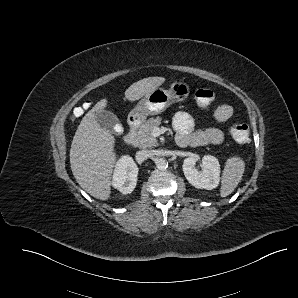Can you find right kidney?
Masks as SVG:
<instances>
[{
  "instance_id": "obj_1",
  "label": "right kidney",
  "mask_w": 298,
  "mask_h": 298,
  "mask_svg": "<svg viewBox=\"0 0 298 298\" xmlns=\"http://www.w3.org/2000/svg\"><path fill=\"white\" fill-rule=\"evenodd\" d=\"M138 166L129 155H123L116 163L112 186L122 194H130L137 184Z\"/></svg>"
}]
</instances>
